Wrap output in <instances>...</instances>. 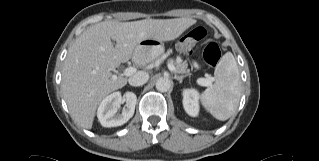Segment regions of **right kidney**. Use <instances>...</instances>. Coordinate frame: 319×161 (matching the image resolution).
Returning a JSON list of instances; mask_svg holds the SVG:
<instances>
[{
	"instance_id": "1",
	"label": "right kidney",
	"mask_w": 319,
	"mask_h": 161,
	"mask_svg": "<svg viewBox=\"0 0 319 161\" xmlns=\"http://www.w3.org/2000/svg\"><path fill=\"white\" fill-rule=\"evenodd\" d=\"M137 97L133 92H126L123 97L120 92H114L105 97L97 110V117L104 127H117L125 124L135 111ZM126 102L121 114L117 111L120 104Z\"/></svg>"
}]
</instances>
